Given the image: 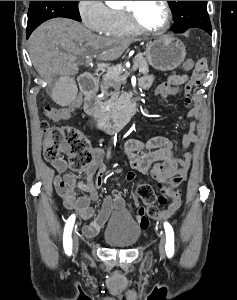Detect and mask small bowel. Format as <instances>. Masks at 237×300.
<instances>
[{
  "label": "small bowel",
  "mask_w": 237,
  "mask_h": 300,
  "mask_svg": "<svg viewBox=\"0 0 237 300\" xmlns=\"http://www.w3.org/2000/svg\"><path fill=\"white\" fill-rule=\"evenodd\" d=\"M207 72L205 60L197 62L194 72L190 78L185 75H173L168 81L161 85L170 86L169 94L176 92L177 88L184 84V104L189 108L188 116L191 119L189 131L183 139V145L179 155H176L175 146L165 136H155L147 142L135 138L128 139L123 147L125 156L130 165L145 174H150L152 179L161 187V182L169 174H186L192 160V154L188 147L198 140V134L201 125V112L196 106H193L191 90L200 84ZM155 81L153 75H148L141 79L140 87L150 88ZM81 97L74 99L68 106L60 109H52L49 116L54 120L66 119L71 112L79 107ZM93 158L90 164L84 168V179H80L74 173H67V162L63 158H57L50 162L54 170L53 185L57 194L62 198L65 208L76 212L81 219L88 221L84 227V233L89 236H95L106 223L113 210L124 207L122 193L118 189H113L101 202L98 211L92 206V202L99 200V189L105 178L107 156L102 148L92 150ZM77 190L83 192L78 195ZM180 207V200L173 201L170 206L160 212L159 218H169ZM135 210L139 225L142 229L149 227L150 221L146 215V210L138 200L135 199Z\"/></svg>",
  "instance_id": "c3829d8e"
}]
</instances>
